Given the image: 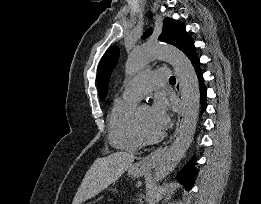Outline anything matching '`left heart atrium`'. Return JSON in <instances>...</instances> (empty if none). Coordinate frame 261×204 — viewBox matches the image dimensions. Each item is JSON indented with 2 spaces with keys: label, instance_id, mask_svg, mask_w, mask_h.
I'll return each instance as SVG.
<instances>
[{
  "label": "left heart atrium",
  "instance_id": "1",
  "mask_svg": "<svg viewBox=\"0 0 261 204\" xmlns=\"http://www.w3.org/2000/svg\"><path fill=\"white\" fill-rule=\"evenodd\" d=\"M152 124L159 132L164 131L170 122V103L162 95H157L150 108Z\"/></svg>",
  "mask_w": 261,
  "mask_h": 204
}]
</instances>
